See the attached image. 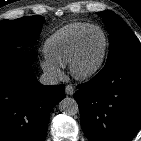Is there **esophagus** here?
<instances>
[{
  "instance_id": "esophagus-1",
  "label": "esophagus",
  "mask_w": 141,
  "mask_h": 141,
  "mask_svg": "<svg viewBox=\"0 0 141 141\" xmlns=\"http://www.w3.org/2000/svg\"><path fill=\"white\" fill-rule=\"evenodd\" d=\"M65 92H66V94H68V95H73L74 94V92H75V88H74V86L73 85H67L66 87H65Z\"/></svg>"
}]
</instances>
